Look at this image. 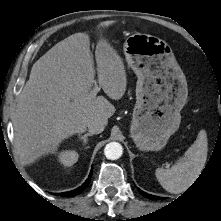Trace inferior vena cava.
I'll list each match as a JSON object with an SVG mask.
<instances>
[{"label": "inferior vena cava", "mask_w": 221, "mask_h": 221, "mask_svg": "<svg viewBox=\"0 0 221 221\" xmlns=\"http://www.w3.org/2000/svg\"><path fill=\"white\" fill-rule=\"evenodd\" d=\"M88 130L92 134H99L103 132L105 124L102 121L99 120H93L88 124Z\"/></svg>", "instance_id": "obj_1"}]
</instances>
